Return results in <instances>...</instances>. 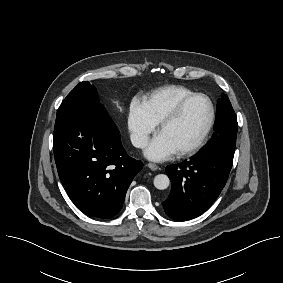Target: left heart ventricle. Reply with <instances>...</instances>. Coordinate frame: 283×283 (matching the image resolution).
Masks as SVG:
<instances>
[{"mask_svg":"<svg viewBox=\"0 0 283 283\" xmlns=\"http://www.w3.org/2000/svg\"><path fill=\"white\" fill-rule=\"evenodd\" d=\"M209 119V102L204 98H198L188 104L179 119L167 126L160 134L179 152L198 141Z\"/></svg>","mask_w":283,"mask_h":283,"instance_id":"left-heart-ventricle-1","label":"left heart ventricle"}]
</instances>
